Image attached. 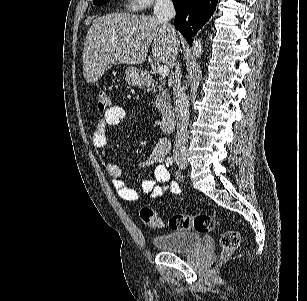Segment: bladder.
<instances>
[{"instance_id":"bladder-1","label":"bladder","mask_w":307,"mask_h":301,"mask_svg":"<svg viewBox=\"0 0 307 301\" xmlns=\"http://www.w3.org/2000/svg\"><path fill=\"white\" fill-rule=\"evenodd\" d=\"M203 238L195 232L179 231L163 235H154L153 243L158 251H190L193 247L200 246Z\"/></svg>"}]
</instances>
